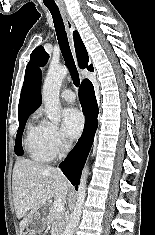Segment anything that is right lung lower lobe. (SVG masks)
<instances>
[{
	"label": "right lung lower lobe",
	"mask_w": 155,
	"mask_h": 235,
	"mask_svg": "<svg viewBox=\"0 0 155 235\" xmlns=\"http://www.w3.org/2000/svg\"><path fill=\"white\" fill-rule=\"evenodd\" d=\"M79 97L81 99L82 110L86 116V125L78 143L61 166L63 173L75 186L76 190L78 188L81 171L92 146L95 131L98 126V106L93 85L89 80L86 79L81 84Z\"/></svg>",
	"instance_id": "right-lung-lower-lobe-1"
}]
</instances>
